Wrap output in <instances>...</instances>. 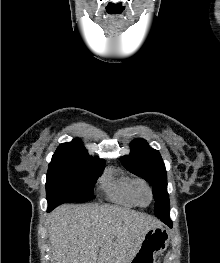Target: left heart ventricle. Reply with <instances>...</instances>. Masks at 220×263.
Segmentation results:
<instances>
[{
  "instance_id": "1",
  "label": "left heart ventricle",
  "mask_w": 220,
  "mask_h": 263,
  "mask_svg": "<svg viewBox=\"0 0 220 263\" xmlns=\"http://www.w3.org/2000/svg\"><path fill=\"white\" fill-rule=\"evenodd\" d=\"M148 199H149V197H148L147 192L144 191V190H142V191L140 192V201H141L142 203H147V202H148Z\"/></svg>"
}]
</instances>
